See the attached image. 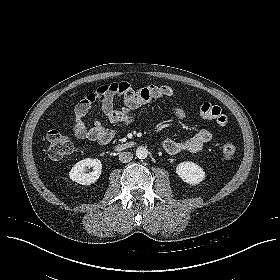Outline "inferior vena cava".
I'll return each instance as SVG.
<instances>
[{"label": "inferior vena cava", "mask_w": 280, "mask_h": 280, "mask_svg": "<svg viewBox=\"0 0 280 280\" xmlns=\"http://www.w3.org/2000/svg\"><path fill=\"white\" fill-rule=\"evenodd\" d=\"M133 159V154L131 152H121L119 154V160L122 163H128Z\"/></svg>", "instance_id": "602c4592"}]
</instances>
